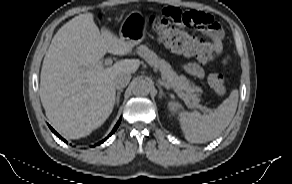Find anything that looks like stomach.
<instances>
[{
  "label": "stomach",
  "mask_w": 292,
  "mask_h": 184,
  "mask_svg": "<svg viewBox=\"0 0 292 184\" xmlns=\"http://www.w3.org/2000/svg\"><path fill=\"white\" fill-rule=\"evenodd\" d=\"M120 38L131 44L138 45L145 37V19L140 11L130 12L122 22Z\"/></svg>",
  "instance_id": "1"
}]
</instances>
